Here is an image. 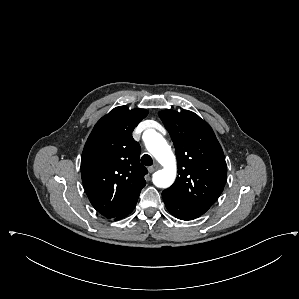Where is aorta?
<instances>
[{
  "label": "aorta",
  "instance_id": "762f6f07",
  "mask_svg": "<svg viewBox=\"0 0 299 299\" xmlns=\"http://www.w3.org/2000/svg\"><path fill=\"white\" fill-rule=\"evenodd\" d=\"M145 144L147 150L163 166V169L153 174L154 185L159 188L170 187L174 183L177 173L176 158L171 147L163 136L154 130L148 131Z\"/></svg>",
  "mask_w": 299,
  "mask_h": 299
}]
</instances>
